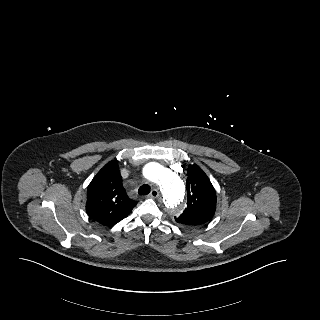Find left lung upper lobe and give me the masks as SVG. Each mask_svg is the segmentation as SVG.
I'll return each mask as SVG.
<instances>
[{
    "label": "left lung upper lobe",
    "mask_w": 320,
    "mask_h": 320,
    "mask_svg": "<svg viewBox=\"0 0 320 320\" xmlns=\"http://www.w3.org/2000/svg\"><path fill=\"white\" fill-rule=\"evenodd\" d=\"M187 207L175 217L183 226H196L208 222L216 209V192L205 172L197 165L188 168Z\"/></svg>",
    "instance_id": "5c2ea615"
}]
</instances>
